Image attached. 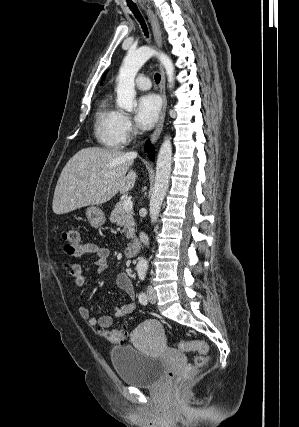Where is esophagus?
<instances>
[{
    "label": "esophagus",
    "mask_w": 299,
    "mask_h": 427,
    "mask_svg": "<svg viewBox=\"0 0 299 427\" xmlns=\"http://www.w3.org/2000/svg\"><path fill=\"white\" fill-rule=\"evenodd\" d=\"M142 8L145 9L144 6H142ZM146 14H147L148 20L151 24V27H152L155 42H156L157 46L159 48H161L162 47V33H161V29H160L158 19H157L156 15L151 11L150 8L146 9ZM160 71H161L160 94L162 97V110H161V114H160L158 124H157L155 130L153 131V133L151 135V142L152 143H155L157 141V139L159 138V136L162 132L164 119H165V113H166L167 100H166V90H165V72H164L162 65H160Z\"/></svg>",
    "instance_id": "esophagus-1"
}]
</instances>
